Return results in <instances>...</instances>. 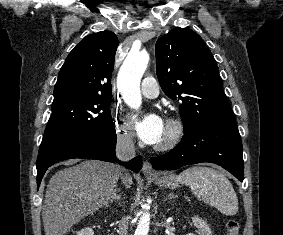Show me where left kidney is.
Segmentation results:
<instances>
[{"instance_id": "5707ae66", "label": "left kidney", "mask_w": 283, "mask_h": 235, "mask_svg": "<svg viewBox=\"0 0 283 235\" xmlns=\"http://www.w3.org/2000/svg\"><path fill=\"white\" fill-rule=\"evenodd\" d=\"M192 222L194 226L198 228L199 235H212L211 228L207 224L206 221L202 220L199 216L192 217ZM187 235H194V234H187Z\"/></svg>"}]
</instances>
